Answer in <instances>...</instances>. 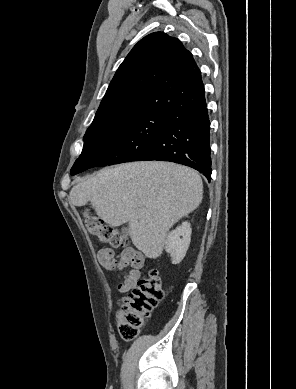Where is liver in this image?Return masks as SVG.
<instances>
[{"mask_svg":"<svg viewBox=\"0 0 296 389\" xmlns=\"http://www.w3.org/2000/svg\"><path fill=\"white\" fill-rule=\"evenodd\" d=\"M202 198V179L195 170L162 161L102 169L69 194L75 206L90 202L111 227L128 222L134 246L153 259L162 254L169 229L198 208Z\"/></svg>","mask_w":296,"mask_h":389,"instance_id":"obj_1","label":"liver"}]
</instances>
